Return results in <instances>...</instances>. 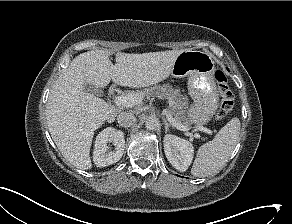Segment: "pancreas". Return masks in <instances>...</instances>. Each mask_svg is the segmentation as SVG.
Masks as SVG:
<instances>
[{
    "label": "pancreas",
    "instance_id": "pancreas-1",
    "mask_svg": "<svg viewBox=\"0 0 292 224\" xmlns=\"http://www.w3.org/2000/svg\"><path fill=\"white\" fill-rule=\"evenodd\" d=\"M144 94H155L159 98L166 99L169 103L168 113L174 116V119L183 126H190L191 122L186 117L187 97L181 94L180 89H174L168 84L154 85L146 88Z\"/></svg>",
    "mask_w": 292,
    "mask_h": 224
}]
</instances>
